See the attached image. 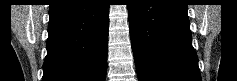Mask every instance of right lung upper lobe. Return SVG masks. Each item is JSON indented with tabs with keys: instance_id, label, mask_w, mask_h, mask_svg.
I'll return each mask as SVG.
<instances>
[{
	"instance_id": "cb5924a9",
	"label": "right lung upper lobe",
	"mask_w": 237,
	"mask_h": 81,
	"mask_svg": "<svg viewBox=\"0 0 237 81\" xmlns=\"http://www.w3.org/2000/svg\"><path fill=\"white\" fill-rule=\"evenodd\" d=\"M60 1H62V0H54V3H53V4L58 3V2H60Z\"/></svg>"
}]
</instances>
